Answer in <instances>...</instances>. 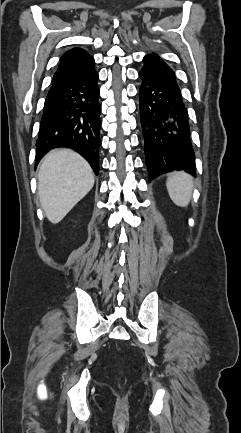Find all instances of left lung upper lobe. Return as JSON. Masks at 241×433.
Returning <instances> with one entry per match:
<instances>
[{
    "instance_id": "1",
    "label": "left lung upper lobe",
    "mask_w": 241,
    "mask_h": 433,
    "mask_svg": "<svg viewBox=\"0 0 241 433\" xmlns=\"http://www.w3.org/2000/svg\"><path fill=\"white\" fill-rule=\"evenodd\" d=\"M144 66H164L168 68L169 70L173 71L157 54L152 53L149 55H146L143 59Z\"/></svg>"
}]
</instances>
